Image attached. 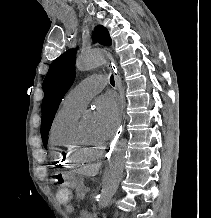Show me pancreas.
I'll return each mask as SVG.
<instances>
[{"instance_id": "1", "label": "pancreas", "mask_w": 211, "mask_h": 218, "mask_svg": "<svg viewBox=\"0 0 211 218\" xmlns=\"http://www.w3.org/2000/svg\"><path fill=\"white\" fill-rule=\"evenodd\" d=\"M84 187L85 186H78L77 190H76V196H78V198H84L85 194L87 192H84Z\"/></svg>"}]
</instances>
